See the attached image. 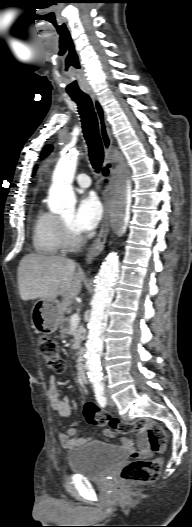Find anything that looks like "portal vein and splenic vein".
Returning <instances> with one entry per match:
<instances>
[{"label": "portal vein and splenic vein", "mask_w": 192, "mask_h": 527, "mask_svg": "<svg viewBox=\"0 0 192 527\" xmlns=\"http://www.w3.org/2000/svg\"><path fill=\"white\" fill-rule=\"evenodd\" d=\"M80 317L77 313L73 314L70 318V325L77 326L79 324Z\"/></svg>", "instance_id": "1"}]
</instances>
